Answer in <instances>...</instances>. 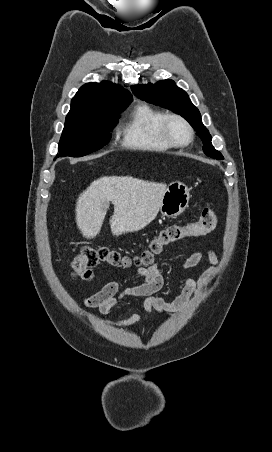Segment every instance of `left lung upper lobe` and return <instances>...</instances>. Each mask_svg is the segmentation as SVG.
Wrapping results in <instances>:
<instances>
[{"instance_id": "5c2ea615", "label": "left lung upper lobe", "mask_w": 272, "mask_h": 452, "mask_svg": "<svg viewBox=\"0 0 272 452\" xmlns=\"http://www.w3.org/2000/svg\"><path fill=\"white\" fill-rule=\"evenodd\" d=\"M132 92L146 102L172 110L184 117L203 141L204 153L214 159H223L211 143V135L202 124L199 110L191 103L185 91L178 88L172 80H162L156 84H141L131 87Z\"/></svg>"}]
</instances>
